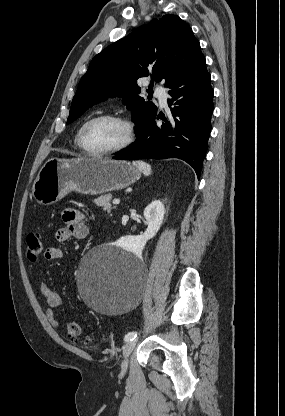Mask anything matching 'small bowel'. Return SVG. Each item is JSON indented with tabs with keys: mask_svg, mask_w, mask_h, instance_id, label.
<instances>
[{
	"mask_svg": "<svg viewBox=\"0 0 285 416\" xmlns=\"http://www.w3.org/2000/svg\"><path fill=\"white\" fill-rule=\"evenodd\" d=\"M64 226L55 232V239L58 242H64L71 238L84 239L89 233V226L85 214L76 209H66L62 213ZM63 251L60 246L53 245L46 249L45 257L48 260H57L62 258ZM40 293L46 302V317L53 328L59 326L56 316V309L61 305V296L55 292L47 283L40 284Z\"/></svg>",
	"mask_w": 285,
	"mask_h": 416,
	"instance_id": "small-bowel-1",
	"label": "small bowel"
}]
</instances>
